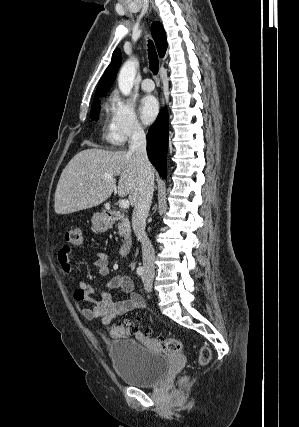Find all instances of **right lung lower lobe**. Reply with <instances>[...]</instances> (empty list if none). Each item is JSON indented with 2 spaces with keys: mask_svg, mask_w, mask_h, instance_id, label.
I'll list each match as a JSON object with an SVG mask.
<instances>
[{
  "mask_svg": "<svg viewBox=\"0 0 299 427\" xmlns=\"http://www.w3.org/2000/svg\"><path fill=\"white\" fill-rule=\"evenodd\" d=\"M168 130V115L166 111H162L147 134L149 160L163 178H166Z\"/></svg>",
  "mask_w": 299,
  "mask_h": 427,
  "instance_id": "98d812e1",
  "label": "right lung lower lobe"
}]
</instances>
